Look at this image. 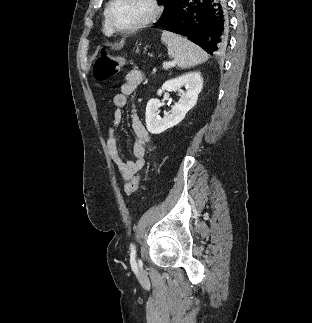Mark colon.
I'll list each match as a JSON object with an SVG mask.
<instances>
[{"instance_id":"5ec220e1","label":"colon","mask_w":312,"mask_h":323,"mask_svg":"<svg viewBox=\"0 0 312 323\" xmlns=\"http://www.w3.org/2000/svg\"><path fill=\"white\" fill-rule=\"evenodd\" d=\"M125 66V58L113 57L108 51H104L94 62L93 73L99 80H106ZM139 184V177L130 181V184H124V194L129 196L131 191H135Z\"/></svg>"}]
</instances>
